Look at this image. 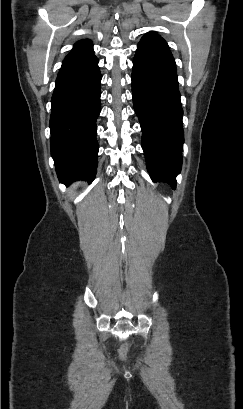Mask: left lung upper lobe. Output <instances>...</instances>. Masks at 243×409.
<instances>
[{
    "label": "left lung upper lobe",
    "mask_w": 243,
    "mask_h": 409,
    "mask_svg": "<svg viewBox=\"0 0 243 409\" xmlns=\"http://www.w3.org/2000/svg\"><path fill=\"white\" fill-rule=\"evenodd\" d=\"M159 39H162V38L158 34H156L155 32H149L145 36L142 37L140 43L156 41Z\"/></svg>",
    "instance_id": "left-lung-upper-lobe-1"
}]
</instances>
